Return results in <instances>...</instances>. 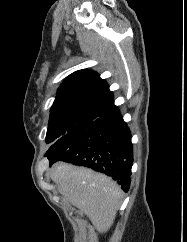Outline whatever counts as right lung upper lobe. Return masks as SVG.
I'll return each instance as SVG.
<instances>
[{"mask_svg": "<svg viewBox=\"0 0 187 242\" xmlns=\"http://www.w3.org/2000/svg\"><path fill=\"white\" fill-rule=\"evenodd\" d=\"M114 104L113 93L99 74L82 69L61 84L51 109L69 105H89L106 109Z\"/></svg>", "mask_w": 187, "mask_h": 242, "instance_id": "1", "label": "right lung upper lobe"}]
</instances>
